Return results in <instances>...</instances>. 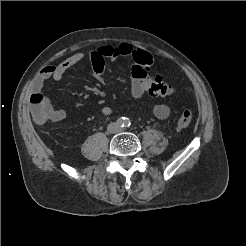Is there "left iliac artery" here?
<instances>
[{"instance_id": "44dca946", "label": "left iliac artery", "mask_w": 246, "mask_h": 246, "mask_svg": "<svg viewBox=\"0 0 246 246\" xmlns=\"http://www.w3.org/2000/svg\"><path fill=\"white\" fill-rule=\"evenodd\" d=\"M130 125H131L130 120L128 118H125V120H124V126L125 127H129Z\"/></svg>"}]
</instances>
